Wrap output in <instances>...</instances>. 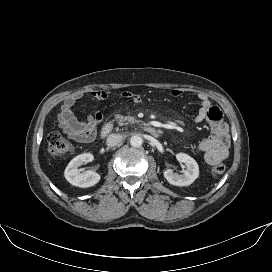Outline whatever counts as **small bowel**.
Here are the masks:
<instances>
[{"label":"small bowel","mask_w":272,"mask_h":272,"mask_svg":"<svg viewBox=\"0 0 272 272\" xmlns=\"http://www.w3.org/2000/svg\"><path fill=\"white\" fill-rule=\"evenodd\" d=\"M174 97L183 95L180 89L172 90ZM91 96L98 100H106L111 97L107 92L95 90ZM119 96L133 102L140 101V95L135 92L123 91ZM82 98V94H74L67 97L58 115L59 126L63 132L77 143L87 144L92 142L97 135L98 124L102 120V113L97 111L89 113L85 120L78 119L73 112L76 102ZM200 108L196 115L195 122H207L210 127V134L195 146V151L203 154L208 165H217L229 155L230 136L228 126L223 122L222 112L211 104L204 94H198Z\"/></svg>","instance_id":"small-bowel-1"}]
</instances>
